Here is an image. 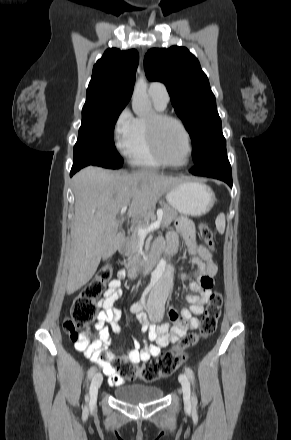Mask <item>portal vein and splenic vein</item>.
<instances>
[{"mask_svg":"<svg viewBox=\"0 0 291 440\" xmlns=\"http://www.w3.org/2000/svg\"><path fill=\"white\" fill-rule=\"evenodd\" d=\"M126 210H127V206L122 207V209L120 211L121 215H123L126 212ZM162 217H163V212L160 211L159 214L157 215L156 221H154L153 223H151L147 227H138L137 228L138 235L140 237H146L150 232L158 229L161 225Z\"/></svg>","mask_w":291,"mask_h":440,"instance_id":"1","label":"portal vein and splenic vein"}]
</instances>
